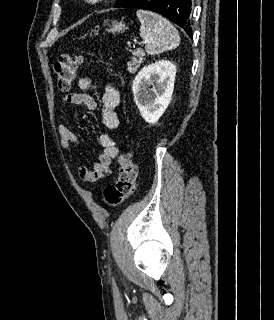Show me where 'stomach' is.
I'll list each match as a JSON object with an SVG mask.
<instances>
[{
    "instance_id": "obj_1",
    "label": "stomach",
    "mask_w": 274,
    "mask_h": 320,
    "mask_svg": "<svg viewBox=\"0 0 274 320\" xmlns=\"http://www.w3.org/2000/svg\"><path fill=\"white\" fill-rule=\"evenodd\" d=\"M125 30H128V28H126L124 22H112L111 26H109V30H106V32H111V34H123ZM95 36H97V34H95Z\"/></svg>"
}]
</instances>
